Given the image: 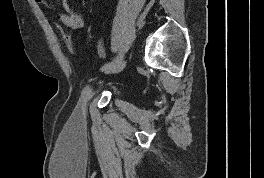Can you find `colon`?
Masks as SVG:
<instances>
[{
	"label": "colon",
	"mask_w": 264,
	"mask_h": 178,
	"mask_svg": "<svg viewBox=\"0 0 264 178\" xmlns=\"http://www.w3.org/2000/svg\"><path fill=\"white\" fill-rule=\"evenodd\" d=\"M62 38H63L67 48L69 49V51L72 54H75L76 53L75 47L73 45V42H72V39H71L70 35H68L67 33L62 32Z\"/></svg>",
	"instance_id": "obj_1"
}]
</instances>
